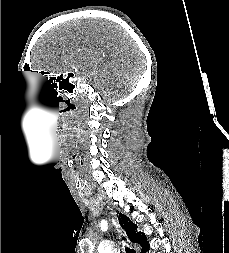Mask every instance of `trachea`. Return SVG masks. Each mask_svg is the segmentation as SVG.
Instances as JSON below:
<instances>
[{
	"instance_id": "3493384b",
	"label": "trachea",
	"mask_w": 229,
	"mask_h": 253,
	"mask_svg": "<svg viewBox=\"0 0 229 253\" xmlns=\"http://www.w3.org/2000/svg\"><path fill=\"white\" fill-rule=\"evenodd\" d=\"M125 250L127 253H136L134 249L126 248Z\"/></svg>"
}]
</instances>
